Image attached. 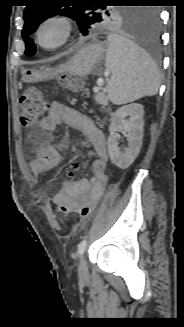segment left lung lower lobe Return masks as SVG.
<instances>
[{
	"mask_svg": "<svg viewBox=\"0 0 184 327\" xmlns=\"http://www.w3.org/2000/svg\"><path fill=\"white\" fill-rule=\"evenodd\" d=\"M136 42L138 46L153 56L160 50V18L151 8L143 9V16L135 26Z\"/></svg>",
	"mask_w": 184,
	"mask_h": 327,
	"instance_id": "obj_1",
	"label": "left lung lower lobe"
}]
</instances>
